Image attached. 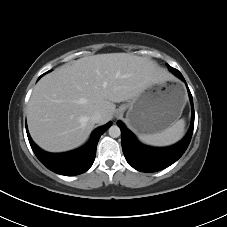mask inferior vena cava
I'll use <instances>...</instances> for the list:
<instances>
[{"label": "inferior vena cava", "mask_w": 227, "mask_h": 227, "mask_svg": "<svg viewBox=\"0 0 227 227\" xmlns=\"http://www.w3.org/2000/svg\"><path fill=\"white\" fill-rule=\"evenodd\" d=\"M101 118H102V114L99 111L94 112L91 116V120L94 123H99Z\"/></svg>", "instance_id": "602c4592"}]
</instances>
